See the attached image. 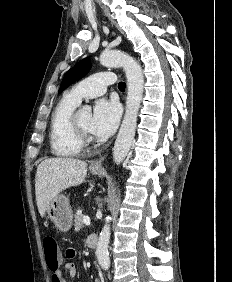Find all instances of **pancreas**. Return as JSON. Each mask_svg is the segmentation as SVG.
Instances as JSON below:
<instances>
[{
	"label": "pancreas",
	"instance_id": "cf45deb5",
	"mask_svg": "<svg viewBox=\"0 0 232 282\" xmlns=\"http://www.w3.org/2000/svg\"><path fill=\"white\" fill-rule=\"evenodd\" d=\"M74 227L76 231L80 230L83 227V215L82 214H76L74 216Z\"/></svg>",
	"mask_w": 232,
	"mask_h": 282
}]
</instances>
